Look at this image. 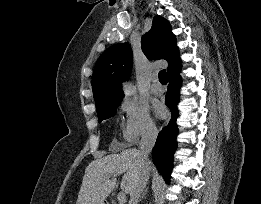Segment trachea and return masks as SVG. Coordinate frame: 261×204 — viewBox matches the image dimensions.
Here are the masks:
<instances>
[{
  "label": "trachea",
  "mask_w": 261,
  "mask_h": 204,
  "mask_svg": "<svg viewBox=\"0 0 261 204\" xmlns=\"http://www.w3.org/2000/svg\"><path fill=\"white\" fill-rule=\"evenodd\" d=\"M159 81L163 84L167 83V76H166V70L163 69L158 74Z\"/></svg>",
  "instance_id": "1"
}]
</instances>
